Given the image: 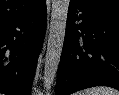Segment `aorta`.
I'll list each match as a JSON object with an SVG mask.
<instances>
[{
  "label": "aorta",
  "mask_w": 119,
  "mask_h": 95,
  "mask_svg": "<svg viewBox=\"0 0 119 95\" xmlns=\"http://www.w3.org/2000/svg\"><path fill=\"white\" fill-rule=\"evenodd\" d=\"M69 2L70 0H52L50 32L43 77L44 87L47 92L51 89V85L54 82L60 63L65 38Z\"/></svg>",
  "instance_id": "1"
}]
</instances>
